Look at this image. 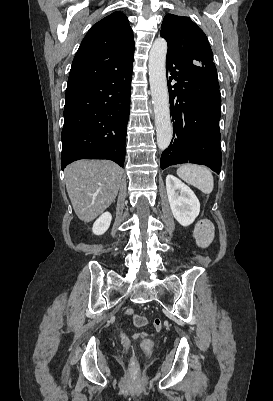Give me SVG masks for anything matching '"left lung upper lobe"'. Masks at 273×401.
<instances>
[{"label": "left lung upper lobe", "mask_w": 273, "mask_h": 401, "mask_svg": "<svg viewBox=\"0 0 273 401\" xmlns=\"http://www.w3.org/2000/svg\"><path fill=\"white\" fill-rule=\"evenodd\" d=\"M161 36L168 42L167 54L198 66L214 64L205 33L189 17L167 14Z\"/></svg>", "instance_id": "obj_1"}]
</instances>
